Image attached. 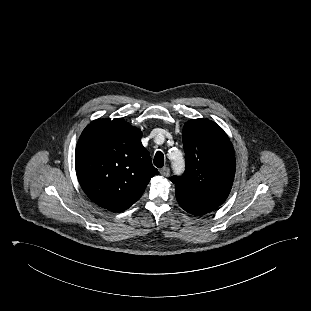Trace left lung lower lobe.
<instances>
[{
	"mask_svg": "<svg viewBox=\"0 0 311 311\" xmlns=\"http://www.w3.org/2000/svg\"><path fill=\"white\" fill-rule=\"evenodd\" d=\"M176 191V198L179 205L193 215H203L217 209L220 205L200 199L193 198L179 190Z\"/></svg>",
	"mask_w": 311,
	"mask_h": 311,
	"instance_id": "1",
	"label": "left lung lower lobe"
}]
</instances>
